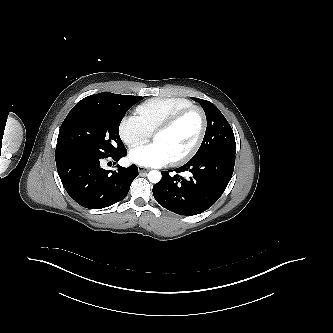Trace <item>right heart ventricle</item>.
<instances>
[{
	"label": "right heart ventricle",
	"instance_id": "e07e8e85",
	"mask_svg": "<svg viewBox=\"0 0 333 333\" xmlns=\"http://www.w3.org/2000/svg\"><path fill=\"white\" fill-rule=\"evenodd\" d=\"M193 106L192 101L180 97L151 98L136 108L137 116L150 133L182 109Z\"/></svg>",
	"mask_w": 333,
	"mask_h": 333
}]
</instances>
